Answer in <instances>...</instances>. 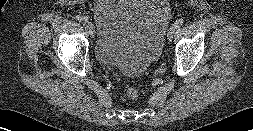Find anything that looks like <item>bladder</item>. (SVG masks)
Masks as SVG:
<instances>
[{
  "mask_svg": "<svg viewBox=\"0 0 253 131\" xmlns=\"http://www.w3.org/2000/svg\"><path fill=\"white\" fill-rule=\"evenodd\" d=\"M93 17L98 61L138 76L162 51L170 8L165 0H99Z\"/></svg>",
  "mask_w": 253,
  "mask_h": 131,
  "instance_id": "1",
  "label": "bladder"
}]
</instances>
